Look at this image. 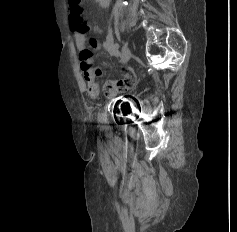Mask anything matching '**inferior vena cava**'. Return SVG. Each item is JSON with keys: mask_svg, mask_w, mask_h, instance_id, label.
I'll use <instances>...</instances> for the list:
<instances>
[{"mask_svg": "<svg viewBox=\"0 0 237 232\" xmlns=\"http://www.w3.org/2000/svg\"><path fill=\"white\" fill-rule=\"evenodd\" d=\"M102 1L105 5H108L110 0H102Z\"/></svg>", "mask_w": 237, "mask_h": 232, "instance_id": "obj_1", "label": "inferior vena cava"}]
</instances>
